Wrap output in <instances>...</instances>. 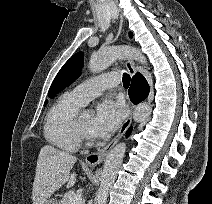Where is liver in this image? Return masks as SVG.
Masks as SVG:
<instances>
[{
	"mask_svg": "<svg viewBox=\"0 0 212 204\" xmlns=\"http://www.w3.org/2000/svg\"><path fill=\"white\" fill-rule=\"evenodd\" d=\"M76 161L77 158L69 153L51 145L43 146L38 156L33 182V204H44L65 183L68 188L74 186L76 174H70V170Z\"/></svg>",
	"mask_w": 212,
	"mask_h": 204,
	"instance_id": "obj_1",
	"label": "liver"
}]
</instances>
